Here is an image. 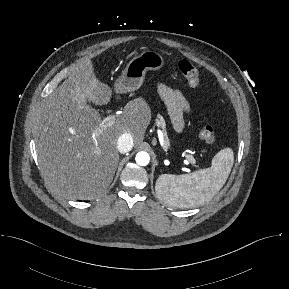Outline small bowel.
<instances>
[{"mask_svg": "<svg viewBox=\"0 0 289 289\" xmlns=\"http://www.w3.org/2000/svg\"><path fill=\"white\" fill-rule=\"evenodd\" d=\"M156 89L168 108L175 130L182 131L184 128V115L190 112V105L185 96L180 90L164 84H158Z\"/></svg>", "mask_w": 289, "mask_h": 289, "instance_id": "c3829d8e", "label": "small bowel"}]
</instances>
